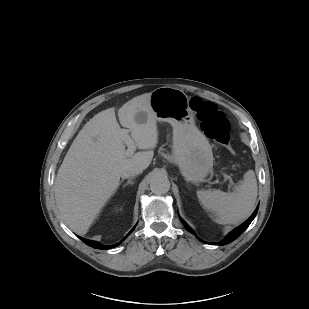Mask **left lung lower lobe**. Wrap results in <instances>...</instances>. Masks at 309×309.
<instances>
[{"mask_svg": "<svg viewBox=\"0 0 309 309\" xmlns=\"http://www.w3.org/2000/svg\"><path fill=\"white\" fill-rule=\"evenodd\" d=\"M257 211H258V207L257 209L254 211V213L250 216V218L244 222L241 226H239L238 228H236L235 230H233L228 236L227 238L220 242V243H216V245H226L232 241H234L236 238H238L246 229L247 227L250 225V223L253 221V219L255 218L256 214H257ZM181 222L183 223V225L185 226V228L192 232V229L182 220L180 219Z\"/></svg>", "mask_w": 309, "mask_h": 309, "instance_id": "obj_1", "label": "left lung lower lobe"}]
</instances>
